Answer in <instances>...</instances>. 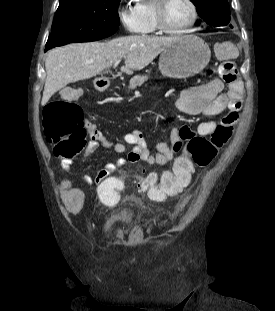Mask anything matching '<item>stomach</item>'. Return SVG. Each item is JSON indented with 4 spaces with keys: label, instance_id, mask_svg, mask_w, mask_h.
I'll return each instance as SVG.
<instances>
[{
    "label": "stomach",
    "instance_id": "stomach-1",
    "mask_svg": "<svg viewBox=\"0 0 275 311\" xmlns=\"http://www.w3.org/2000/svg\"><path fill=\"white\" fill-rule=\"evenodd\" d=\"M210 58V48L203 39L196 35H185L177 37L161 52L159 70L165 77L188 78L205 69Z\"/></svg>",
    "mask_w": 275,
    "mask_h": 311
}]
</instances>
